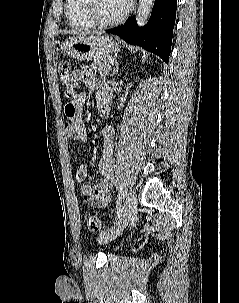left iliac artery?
Masks as SVG:
<instances>
[{"label": "left iliac artery", "instance_id": "44dca946", "mask_svg": "<svg viewBox=\"0 0 239 303\" xmlns=\"http://www.w3.org/2000/svg\"><path fill=\"white\" fill-rule=\"evenodd\" d=\"M124 187H125V184L122 182V184L119 187V194H118V200H117V205H116L117 218H120V216L122 215V212H123V209L121 206V199H122V195L124 193Z\"/></svg>", "mask_w": 239, "mask_h": 303}]
</instances>
